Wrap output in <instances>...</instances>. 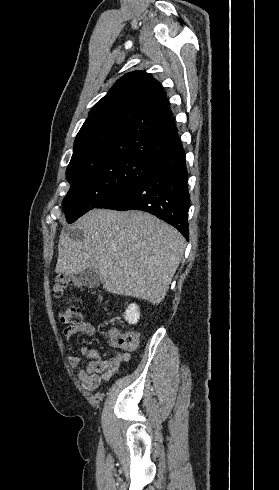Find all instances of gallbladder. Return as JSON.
I'll use <instances>...</instances> for the list:
<instances>
[{
	"instance_id": "gallbladder-1",
	"label": "gallbladder",
	"mask_w": 279,
	"mask_h": 490,
	"mask_svg": "<svg viewBox=\"0 0 279 490\" xmlns=\"http://www.w3.org/2000/svg\"><path fill=\"white\" fill-rule=\"evenodd\" d=\"M77 282L78 284H81V286H86V288H97V286H100L101 284L98 270H96V268H87V270H83V272H80Z\"/></svg>"
}]
</instances>
